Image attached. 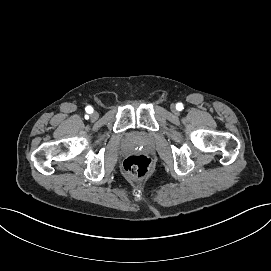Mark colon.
Listing matches in <instances>:
<instances>
[{"instance_id":"1","label":"colon","mask_w":271,"mask_h":271,"mask_svg":"<svg viewBox=\"0 0 271 271\" xmlns=\"http://www.w3.org/2000/svg\"><path fill=\"white\" fill-rule=\"evenodd\" d=\"M152 169V161L145 155H132L123 162L124 172L134 179L147 176Z\"/></svg>"}]
</instances>
